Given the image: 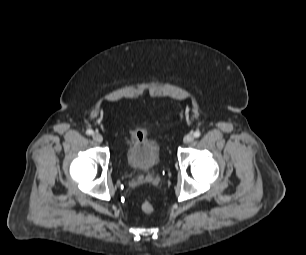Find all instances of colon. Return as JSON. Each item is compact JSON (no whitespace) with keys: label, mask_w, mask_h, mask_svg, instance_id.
Masks as SVG:
<instances>
[{"label":"colon","mask_w":306,"mask_h":255,"mask_svg":"<svg viewBox=\"0 0 306 255\" xmlns=\"http://www.w3.org/2000/svg\"><path fill=\"white\" fill-rule=\"evenodd\" d=\"M141 209L146 214H151L154 211V206L149 201H144L141 204Z\"/></svg>","instance_id":"obj_1"}]
</instances>
